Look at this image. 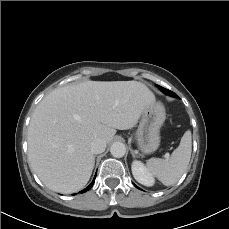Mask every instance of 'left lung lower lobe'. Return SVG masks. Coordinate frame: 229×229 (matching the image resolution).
Wrapping results in <instances>:
<instances>
[{
    "label": "left lung lower lobe",
    "mask_w": 229,
    "mask_h": 229,
    "mask_svg": "<svg viewBox=\"0 0 229 229\" xmlns=\"http://www.w3.org/2000/svg\"><path fill=\"white\" fill-rule=\"evenodd\" d=\"M170 91V90H169ZM170 96H173V97H178L174 92L170 91ZM169 95V94H168Z\"/></svg>",
    "instance_id": "0a47b994"
}]
</instances>
